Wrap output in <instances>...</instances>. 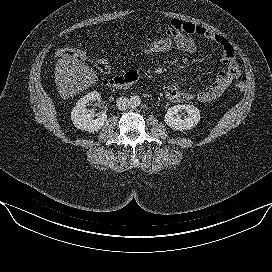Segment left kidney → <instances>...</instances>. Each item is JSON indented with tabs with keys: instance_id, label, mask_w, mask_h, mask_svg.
Segmentation results:
<instances>
[{
	"instance_id": "obj_1",
	"label": "left kidney",
	"mask_w": 272,
	"mask_h": 272,
	"mask_svg": "<svg viewBox=\"0 0 272 272\" xmlns=\"http://www.w3.org/2000/svg\"><path fill=\"white\" fill-rule=\"evenodd\" d=\"M186 110L188 116L184 119L178 114L182 110ZM200 112L194 105H175L170 107L165 114V123L173 130L184 131L195 127L200 121Z\"/></svg>"
}]
</instances>
